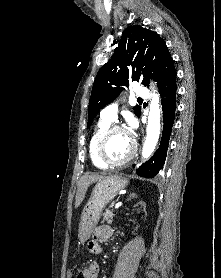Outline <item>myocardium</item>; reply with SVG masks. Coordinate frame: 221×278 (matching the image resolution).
Masks as SVG:
<instances>
[{
  "mask_svg": "<svg viewBox=\"0 0 221 278\" xmlns=\"http://www.w3.org/2000/svg\"><path fill=\"white\" fill-rule=\"evenodd\" d=\"M115 131H123V132L127 133L132 140V149H131V152L129 153V155L126 158H124L123 160L117 161V162L110 161L105 156L106 142H107L108 138L110 137V135L112 133H114ZM136 152H137V144H136L134 138L130 135V133L123 126L117 125V124L108 126L100 135L97 145H96L97 157L100 160V162L102 164H104L106 167L124 166L135 157Z\"/></svg>",
  "mask_w": 221,
  "mask_h": 278,
  "instance_id": "obj_1",
  "label": "myocardium"
}]
</instances>
